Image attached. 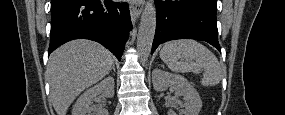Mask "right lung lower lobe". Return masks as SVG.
I'll list each match as a JSON object with an SVG mask.
<instances>
[{"mask_svg": "<svg viewBox=\"0 0 285 115\" xmlns=\"http://www.w3.org/2000/svg\"><path fill=\"white\" fill-rule=\"evenodd\" d=\"M132 28L126 2L111 0H51V35L48 55L73 39H90L121 60Z\"/></svg>", "mask_w": 285, "mask_h": 115, "instance_id": "98d812e1", "label": "right lung lower lobe"}]
</instances>
